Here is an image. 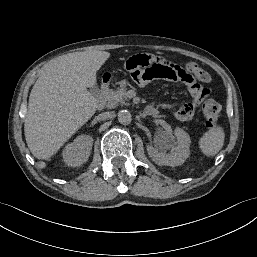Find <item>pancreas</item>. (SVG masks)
Here are the masks:
<instances>
[{
    "label": "pancreas",
    "mask_w": 257,
    "mask_h": 257,
    "mask_svg": "<svg viewBox=\"0 0 257 257\" xmlns=\"http://www.w3.org/2000/svg\"><path fill=\"white\" fill-rule=\"evenodd\" d=\"M127 82H120V88L118 90H108L104 96L106 107L107 108H115L118 105L126 104L128 100L127 97Z\"/></svg>",
    "instance_id": "obj_1"
}]
</instances>
